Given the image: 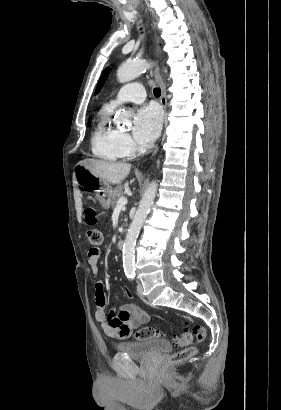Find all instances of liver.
<instances>
[{
    "mask_svg": "<svg viewBox=\"0 0 281 410\" xmlns=\"http://www.w3.org/2000/svg\"><path fill=\"white\" fill-rule=\"evenodd\" d=\"M83 165L88 167L94 174L105 178L109 183L120 184L130 173L131 165L128 163H115L98 159H85L81 161ZM73 183L76 185L75 177ZM82 195L78 191L75 194V207L77 211V219L82 222Z\"/></svg>",
    "mask_w": 281,
    "mask_h": 410,
    "instance_id": "obj_1",
    "label": "liver"
}]
</instances>
